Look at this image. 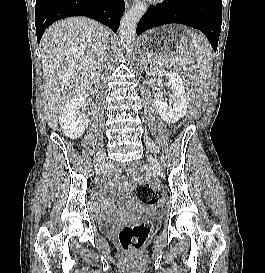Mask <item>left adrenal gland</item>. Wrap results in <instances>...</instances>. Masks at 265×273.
I'll return each instance as SVG.
<instances>
[{"mask_svg": "<svg viewBox=\"0 0 265 273\" xmlns=\"http://www.w3.org/2000/svg\"><path fill=\"white\" fill-rule=\"evenodd\" d=\"M143 60H144L146 65H147V63H150V60L145 58V54H143Z\"/></svg>", "mask_w": 265, "mask_h": 273, "instance_id": "left-adrenal-gland-1", "label": "left adrenal gland"}]
</instances>
